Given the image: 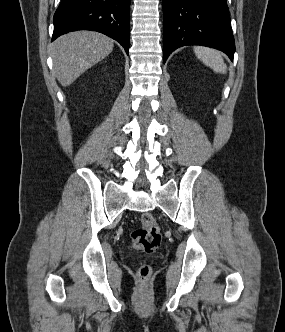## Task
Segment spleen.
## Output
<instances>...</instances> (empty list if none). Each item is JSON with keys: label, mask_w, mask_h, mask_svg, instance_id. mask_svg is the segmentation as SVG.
Listing matches in <instances>:
<instances>
[{"label": "spleen", "mask_w": 285, "mask_h": 332, "mask_svg": "<svg viewBox=\"0 0 285 332\" xmlns=\"http://www.w3.org/2000/svg\"><path fill=\"white\" fill-rule=\"evenodd\" d=\"M194 53L199 60L216 73H226L227 66L219 51L208 47H194Z\"/></svg>", "instance_id": "obj_1"}]
</instances>
